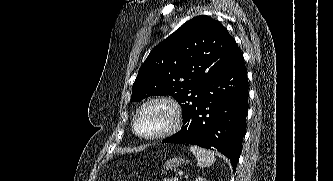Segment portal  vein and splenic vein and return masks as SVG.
Here are the masks:
<instances>
[{"instance_id": "portal-vein-and-splenic-vein-1", "label": "portal vein and splenic vein", "mask_w": 333, "mask_h": 181, "mask_svg": "<svg viewBox=\"0 0 333 181\" xmlns=\"http://www.w3.org/2000/svg\"><path fill=\"white\" fill-rule=\"evenodd\" d=\"M172 180L173 181H178V177H174Z\"/></svg>"}]
</instances>
